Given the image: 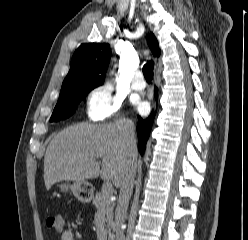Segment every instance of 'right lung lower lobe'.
Returning a JSON list of instances; mask_svg holds the SVG:
<instances>
[{
    "instance_id": "right-lung-lower-lobe-1",
    "label": "right lung lower lobe",
    "mask_w": 248,
    "mask_h": 240,
    "mask_svg": "<svg viewBox=\"0 0 248 240\" xmlns=\"http://www.w3.org/2000/svg\"><path fill=\"white\" fill-rule=\"evenodd\" d=\"M154 94L157 99L158 89L156 87L154 89ZM154 116L155 114L153 113V111L146 119H142L140 116H138V123H137V133L139 136L138 150L141 155H143L147 141L149 139Z\"/></svg>"
}]
</instances>
